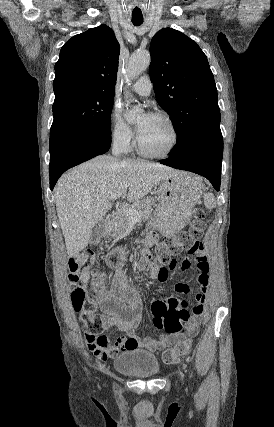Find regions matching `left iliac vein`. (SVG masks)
I'll list each match as a JSON object with an SVG mask.
<instances>
[{
	"label": "left iliac vein",
	"mask_w": 274,
	"mask_h": 427,
	"mask_svg": "<svg viewBox=\"0 0 274 427\" xmlns=\"http://www.w3.org/2000/svg\"><path fill=\"white\" fill-rule=\"evenodd\" d=\"M181 380L183 381V375L180 376Z\"/></svg>",
	"instance_id": "obj_1"
}]
</instances>
